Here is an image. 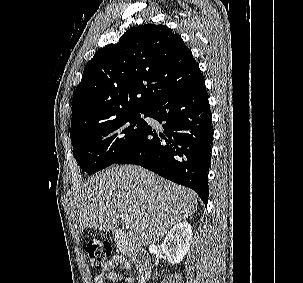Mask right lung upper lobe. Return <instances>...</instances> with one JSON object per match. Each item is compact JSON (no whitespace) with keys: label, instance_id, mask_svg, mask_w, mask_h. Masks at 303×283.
Here are the masks:
<instances>
[{"label":"right lung upper lobe","instance_id":"obj_1","mask_svg":"<svg viewBox=\"0 0 303 283\" xmlns=\"http://www.w3.org/2000/svg\"><path fill=\"white\" fill-rule=\"evenodd\" d=\"M201 71L181 36L145 24L96 52L72 101L71 133L154 103L193 82Z\"/></svg>","mask_w":303,"mask_h":283}]
</instances>
